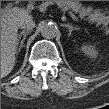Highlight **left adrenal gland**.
I'll return each instance as SVG.
<instances>
[{
    "label": "left adrenal gland",
    "instance_id": "left-adrenal-gland-1",
    "mask_svg": "<svg viewBox=\"0 0 109 109\" xmlns=\"http://www.w3.org/2000/svg\"><path fill=\"white\" fill-rule=\"evenodd\" d=\"M64 26L68 28V30H69L68 35L69 36H71L73 30H78L79 29L77 26H72L70 24H64Z\"/></svg>",
    "mask_w": 109,
    "mask_h": 109
}]
</instances>
